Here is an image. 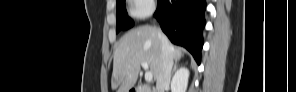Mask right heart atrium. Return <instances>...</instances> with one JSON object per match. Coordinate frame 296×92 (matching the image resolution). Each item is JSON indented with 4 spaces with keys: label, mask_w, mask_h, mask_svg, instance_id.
<instances>
[{
    "label": "right heart atrium",
    "mask_w": 296,
    "mask_h": 92,
    "mask_svg": "<svg viewBox=\"0 0 296 92\" xmlns=\"http://www.w3.org/2000/svg\"><path fill=\"white\" fill-rule=\"evenodd\" d=\"M155 9V2L152 0H131L129 3V14L138 20L149 17Z\"/></svg>",
    "instance_id": "1"
}]
</instances>
